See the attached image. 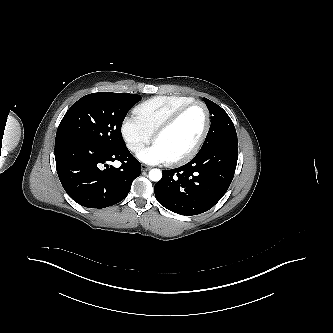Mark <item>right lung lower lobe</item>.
<instances>
[{"label":"right lung lower lobe","mask_w":333,"mask_h":333,"mask_svg":"<svg viewBox=\"0 0 333 333\" xmlns=\"http://www.w3.org/2000/svg\"><path fill=\"white\" fill-rule=\"evenodd\" d=\"M55 160L64 190L75 202L88 208H105L122 201L141 173L140 162L126 146L105 149L60 139L55 140ZM115 160L121 161L119 168L108 165Z\"/></svg>","instance_id":"98d812e1"}]
</instances>
